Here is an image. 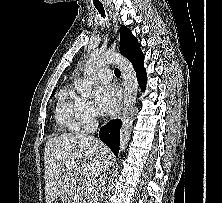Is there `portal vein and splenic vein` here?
Instances as JSON below:
<instances>
[{
	"label": "portal vein and splenic vein",
	"mask_w": 222,
	"mask_h": 203,
	"mask_svg": "<svg viewBox=\"0 0 222 203\" xmlns=\"http://www.w3.org/2000/svg\"><path fill=\"white\" fill-rule=\"evenodd\" d=\"M82 188L86 191V192H89V191H92L94 189V186L91 182H85L83 185H82Z\"/></svg>",
	"instance_id": "portal-vein-and-splenic-vein-1"
}]
</instances>
